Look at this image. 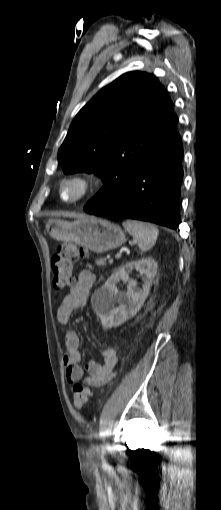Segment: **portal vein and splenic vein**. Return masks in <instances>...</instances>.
<instances>
[{
	"mask_svg": "<svg viewBox=\"0 0 221 510\" xmlns=\"http://www.w3.org/2000/svg\"><path fill=\"white\" fill-rule=\"evenodd\" d=\"M119 257V254L116 255V258ZM109 263H113V259L109 260Z\"/></svg>",
	"mask_w": 221,
	"mask_h": 510,
	"instance_id": "obj_1",
	"label": "portal vein and splenic vein"
}]
</instances>
